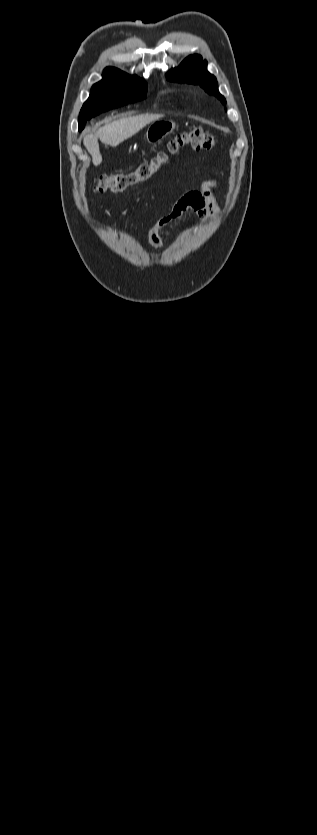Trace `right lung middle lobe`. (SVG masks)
Segmentation results:
<instances>
[{"instance_id": "1", "label": "right lung middle lobe", "mask_w": 317, "mask_h": 835, "mask_svg": "<svg viewBox=\"0 0 317 835\" xmlns=\"http://www.w3.org/2000/svg\"><path fill=\"white\" fill-rule=\"evenodd\" d=\"M147 83L120 70L103 75V79L94 84L88 100L79 114V131L92 117L128 103L146 97Z\"/></svg>"}]
</instances>
